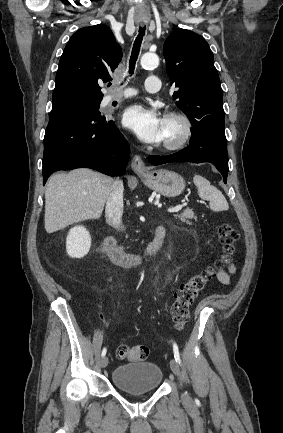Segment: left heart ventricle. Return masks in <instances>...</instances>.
Listing matches in <instances>:
<instances>
[{
    "label": "left heart ventricle",
    "instance_id": "b2bd125f",
    "mask_svg": "<svg viewBox=\"0 0 283 433\" xmlns=\"http://www.w3.org/2000/svg\"><path fill=\"white\" fill-rule=\"evenodd\" d=\"M165 141H176L182 134L183 126L178 119L164 118ZM164 147V144H163Z\"/></svg>",
    "mask_w": 283,
    "mask_h": 433
}]
</instances>
